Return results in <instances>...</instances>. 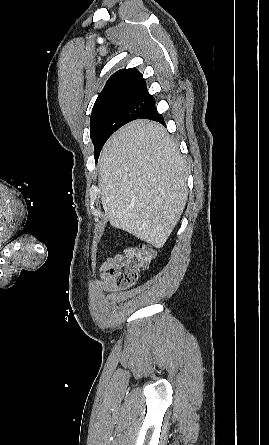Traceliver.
Masks as SVG:
<instances>
[{
  "instance_id": "liver-1",
  "label": "liver",
  "mask_w": 269,
  "mask_h": 445,
  "mask_svg": "<svg viewBox=\"0 0 269 445\" xmlns=\"http://www.w3.org/2000/svg\"><path fill=\"white\" fill-rule=\"evenodd\" d=\"M188 168L163 126L133 121L106 142L99 186L110 224L161 248L188 198Z\"/></svg>"
}]
</instances>
